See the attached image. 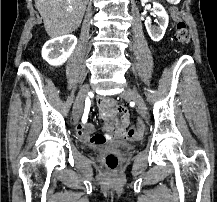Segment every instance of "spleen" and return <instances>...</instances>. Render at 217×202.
<instances>
[{
  "instance_id": "spleen-1",
  "label": "spleen",
  "mask_w": 217,
  "mask_h": 202,
  "mask_svg": "<svg viewBox=\"0 0 217 202\" xmlns=\"http://www.w3.org/2000/svg\"><path fill=\"white\" fill-rule=\"evenodd\" d=\"M168 5H179V0H168Z\"/></svg>"
}]
</instances>
